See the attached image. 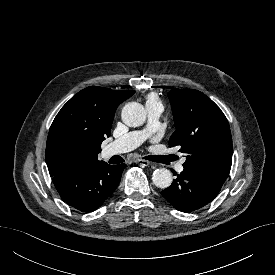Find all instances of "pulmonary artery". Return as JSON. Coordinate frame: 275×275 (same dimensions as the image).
Masks as SVG:
<instances>
[{
  "label": "pulmonary artery",
  "instance_id": "pulmonary-artery-1",
  "mask_svg": "<svg viewBox=\"0 0 275 275\" xmlns=\"http://www.w3.org/2000/svg\"><path fill=\"white\" fill-rule=\"evenodd\" d=\"M146 110L148 114V123L146 127L140 131L129 132L119 139L110 143L105 150L107 156L125 153L142 145L149 136L156 131L159 126V118L163 112V105L160 101L146 102ZM185 159L182 158L177 164L178 172L183 171Z\"/></svg>",
  "mask_w": 275,
  "mask_h": 275
}]
</instances>
